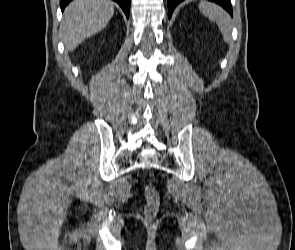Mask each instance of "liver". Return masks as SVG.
Wrapping results in <instances>:
<instances>
[{
    "instance_id": "1",
    "label": "liver",
    "mask_w": 295,
    "mask_h": 250,
    "mask_svg": "<svg viewBox=\"0 0 295 250\" xmlns=\"http://www.w3.org/2000/svg\"><path fill=\"white\" fill-rule=\"evenodd\" d=\"M114 13L109 0H74L64 11L62 21L65 49L73 51L84 40L102 31Z\"/></svg>"
}]
</instances>
